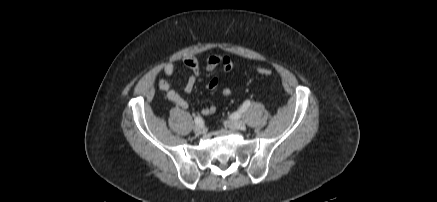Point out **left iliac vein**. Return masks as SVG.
I'll return each instance as SVG.
<instances>
[{
  "label": "left iliac vein",
  "instance_id": "left-iliac-vein-1",
  "mask_svg": "<svg viewBox=\"0 0 437 202\" xmlns=\"http://www.w3.org/2000/svg\"><path fill=\"white\" fill-rule=\"evenodd\" d=\"M225 125L231 129L235 130H244L246 128V124L242 120H228L225 122Z\"/></svg>",
  "mask_w": 437,
  "mask_h": 202
}]
</instances>
